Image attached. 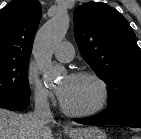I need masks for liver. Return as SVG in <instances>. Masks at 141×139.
<instances>
[{"mask_svg": "<svg viewBox=\"0 0 141 139\" xmlns=\"http://www.w3.org/2000/svg\"><path fill=\"white\" fill-rule=\"evenodd\" d=\"M51 123L38 126L33 113L19 114L0 108V139H54Z\"/></svg>", "mask_w": 141, "mask_h": 139, "instance_id": "liver-1", "label": "liver"}]
</instances>
